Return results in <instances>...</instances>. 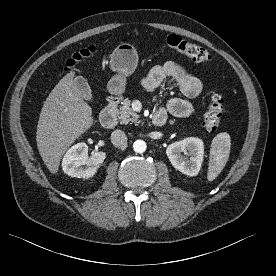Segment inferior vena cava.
I'll return each instance as SVG.
<instances>
[{
    "instance_id": "602c4592",
    "label": "inferior vena cava",
    "mask_w": 276,
    "mask_h": 276,
    "mask_svg": "<svg viewBox=\"0 0 276 276\" xmlns=\"http://www.w3.org/2000/svg\"><path fill=\"white\" fill-rule=\"evenodd\" d=\"M111 142L115 147H125L127 144V136L122 130H115L111 134Z\"/></svg>"
}]
</instances>
